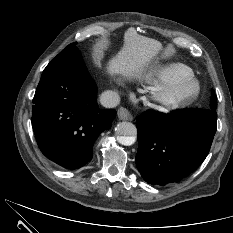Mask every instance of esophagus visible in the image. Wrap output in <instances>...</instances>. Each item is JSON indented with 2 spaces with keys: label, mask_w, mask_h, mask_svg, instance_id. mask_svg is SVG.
Returning <instances> with one entry per match:
<instances>
[{
  "label": "esophagus",
  "mask_w": 233,
  "mask_h": 233,
  "mask_svg": "<svg viewBox=\"0 0 233 233\" xmlns=\"http://www.w3.org/2000/svg\"><path fill=\"white\" fill-rule=\"evenodd\" d=\"M117 115L120 120L131 121L133 119V116L131 115L130 111L124 107H120L118 109Z\"/></svg>",
  "instance_id": "34e87169"
}]
</instances>
